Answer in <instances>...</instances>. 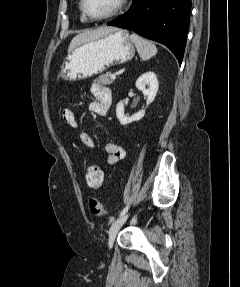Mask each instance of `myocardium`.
Returning a JSON list of instances; mask_svg holds the SVG:
<instances>
[{
  "instance_id": "f54148a6",
  "label": "myocardium",
  "mask_w": 240,
  "mask_h": 287,
  "mask_svg": "<svg viewBox=\"0 0 240 287\" xmlns=\"http://www.w3.org/2000/svg\"><path fill=\"white\" fill-rule=\"evenodd\" d=\"M127 0H117L114 8L106 15L103 16H93L89 13L87 6H86V0H81V10L83 14L85 15L86 18H88L91 21L95 22H101V21H106L114 16H116L124 7L125 3Z\"/></svg>"
}]
</instances>
